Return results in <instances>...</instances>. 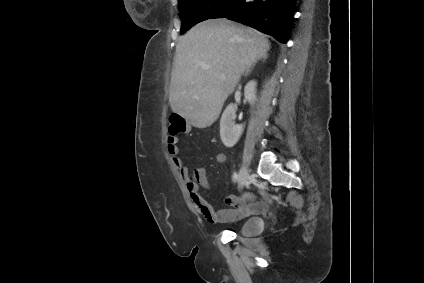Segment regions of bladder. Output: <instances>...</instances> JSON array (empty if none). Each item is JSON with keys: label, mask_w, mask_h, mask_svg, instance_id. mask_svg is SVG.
Here are the masks:
<instances>
[{"label": "bladder", "mask_w": 424, "mask_h": 283, "mask_svg": "<svg viewBox=\"0 0 424 283\" xmlns=\"http://www.w3.org/2000/svg\"><path fill=\"white\" fill-rule=\"evenodd\" d=\"M264 222L259 217L247 219L239 228V233L245 237L256 236L263 230Z\"/></svg>", "instance_id": "bladder-1"}]
</instances>
